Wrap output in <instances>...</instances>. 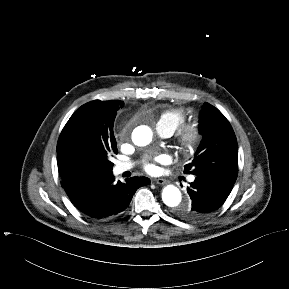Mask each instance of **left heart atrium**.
<instances>
[{"label": "left heart atrium", "mask_w": 289, "mask_h": 289, "mask_svg": "<svg viewBox=\"0 0 289 289\" xmlns=\"http://www.w3.org/2000/svg\"><path fill=\"white\" fill-rule=\"evenodd\" d=\"M170 161V156L166 153H159L153 156H148L143 161L144 169L148 173H156L159 168L158 164H166Z\"/></svg>", "instance_id": "1"}]
</instances>
